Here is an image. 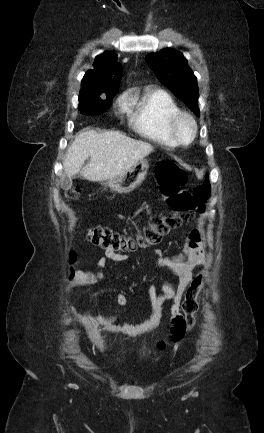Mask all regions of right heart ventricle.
<instances>
[{
    "label": "right heart ventricle",
    "instance_id": "right-heart-ventricle-1",
    "mask_svg": "<svg viewBox=\"0 0 264 433\" xmlns=\"http://www.w3.org/2000/svg\"><path fill=\"white\" fill-rule=\"evenodd\" d=\"M177 111V103L163 90H145L126 97V113L130 127L140 136L162 145H176L168 132L167 122Z\"/></svg>",
    "mask_w": 264,
    "mask_h": 433
}]
</instances>
